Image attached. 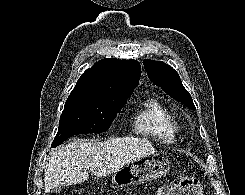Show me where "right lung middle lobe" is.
I'll return each mask as SVG.
<instances>
[{"instance_id": "dd1d6c3e", "label": "right lung middle lobe", "mask_w": 245, "mask_h": 195, "mask_svg": "<svg viewBox=\"0 0 245 195\" xmlns=\"http://www.w3.org/2000/svg\"><path fill=\"white\" fill-rule=\"evenodd\" d=\"M125 103L126 100H109L85 95L69 96L52 147H57L73 135L108 130Z\"/></svg>"}]
</instances>
